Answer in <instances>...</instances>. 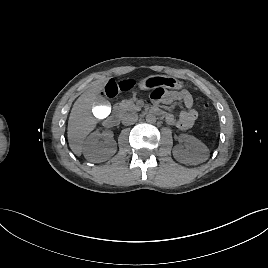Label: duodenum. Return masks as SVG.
Returning <instances> with one entry per match:
<instances>
[{"label":"duodenum","instance_id":"410a0bca","mask_svg":"<svg viewBox=\"0 0 268 268\" xmlns=\"http://www.w3.org/2000/svg\"><path fill=\"white\" fill-rule=\"evenodd\" d=\"M153 113L161 115L159 112L153 111ZM120 120V115L117 111H114L110 117L106 119L107 126H113Z\"/></svg>","mask_w":268,"mask_h":268}]
</instances>
